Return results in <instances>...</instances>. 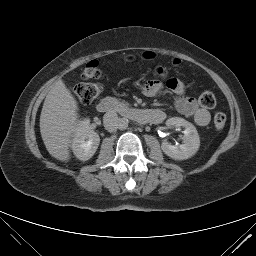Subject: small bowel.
<instances>
[{
  "label": "small bowel",
  "instance_id": "obj_1",
  "mask_svg": "<svg viewBox=\"0 0 256 256\" xmlns=\"http://www.w3.org/2000/svg\"><path fill=\"white\" fill-rule=\"evenodd\" d=\"M159 75H163V70L159 69ZM168 89L173 91L178 95L175 100L176 110L185 116L193 117L195 123L199 126H206L211 120V115L209 111L201 107L197 101L189 96L184 95V85L175 78L167 79L165 82ZM163 88V82L157 78L151 79L145 83L143 86V93L148 97H153L157 95ZM164 115L161 111L155 110Z\"/></svg>",
  "mask_w": 256,
  "mask_h": 256
}]
</instances>
